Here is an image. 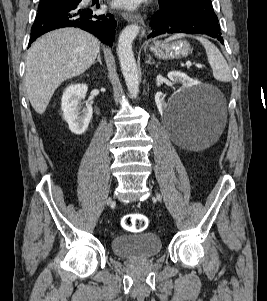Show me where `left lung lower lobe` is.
Instances as JSON below:
<instances>
[{"instance_id": "0a47b994", "label": "left lung lower lobe", "mask_w": 267, "mask_h": 301, "mask_svg": "<svg viewBox=\"0 0 267 301\" xmlns=\"http://www.w3.org/2000/svg\"><path fill=\"white\" fill-rule=\"evenodd\" d=\"M148 38L168 33L205 34L223 43L218 23H213L200 15L186 10L161 8L153 15Z\"/></svg>"}]
</instances>
